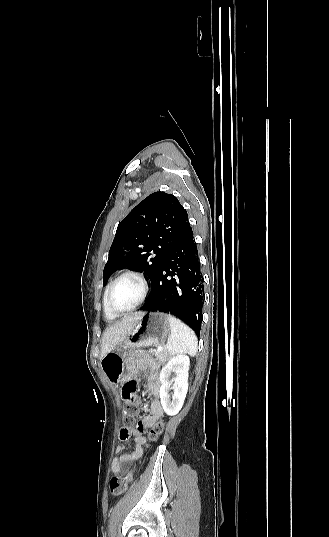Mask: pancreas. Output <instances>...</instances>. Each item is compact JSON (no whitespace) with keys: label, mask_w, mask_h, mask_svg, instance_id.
I'll return each instance as SVG.
<instances>
[{"label":"pancreas","mask_w":329,"mask_h":537,"mask_svg":"<svg viewBox=\"0 0 329 537\" xmlns=\"http://www.w3.org/2000/svg\"><path fill=\"white\" fill-rule=\"evenodd\" d=\"M150 353L155 356V359L159 361L160 364H164L170 358V355L164 349L162 351H155L151 349Z\"/></svg>","instance_id":"pancreas-1"}]
</instances>
